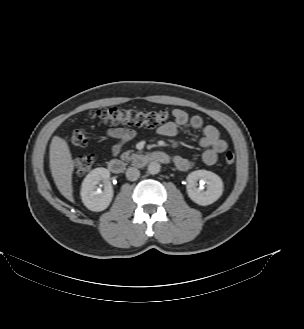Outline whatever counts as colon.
I'll list each match as a JSON object with an SVG mask.
<instances>
[{"instance_id": "5ec220e1", "label": "colon", "mask_w": 304, "mask_h": 329, "mask_svg": "<svg viewBox=\"0 0 304 329\" xmlns=\"http://www.w3.org/2000/svg\"><path fill=\"white\" fill-rule=\"evenodd\" d=\"M91 119L100 124H128L132 126H145L154 128L166 124L171 119V113L167 110L159 111H138L133 109L101 108L90 113ZM90 140L85 128L75 130L71 136L73 146H85ZM227 165H232L235 156L232 151H227L224 156ZM94 154H86L75 162V172L82 176L94 166Z\"/></svg>"}]
</instances>
